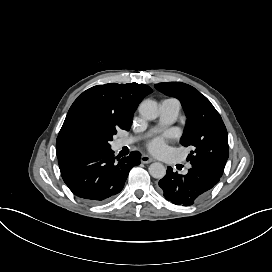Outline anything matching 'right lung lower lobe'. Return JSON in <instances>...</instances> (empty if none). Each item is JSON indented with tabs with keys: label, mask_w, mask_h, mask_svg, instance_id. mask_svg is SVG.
I'll return each mask as SVG.
<instances>
[{
	"label": "right lung lower lobe",
	"mask_w": 272,
	"mask_h": 272,
	"mask_svg": "<svg viewBox=\"0 0 272 272\" xmlns=\"http://www.w3.org/2000/svg\"><path fill=\"white\" fill-rule=\"evenodd\" d=\"M62 178L72 193L88 204H100L118 194L129 171L140 164V153L115 157L111 148L70 152L58 157Z\"/></svg>",
	"instance_id": "1"
}]
</instances>
